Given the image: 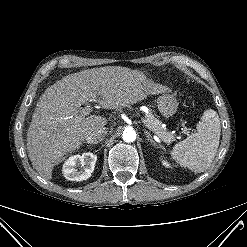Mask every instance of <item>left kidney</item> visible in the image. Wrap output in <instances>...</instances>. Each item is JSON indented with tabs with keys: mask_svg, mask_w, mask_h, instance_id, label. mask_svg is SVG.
Segmentation results:
<instances>
[{
	"mask_svg": "<svg viewBox=\"0 0 247 247\" xmlns=\"http://www.w3.org/2000/svg\"><path fill=\"white\" fill-rule=\"evenodd\" d=\"M163 165H165L166 167H170V164L166 161H163Z\"/></svg>",
	"mask_w": 247,
	"mask_h": 247,
	"instance_id": "5707ae66",
	"label": "left kidney"
}]
</instances>
